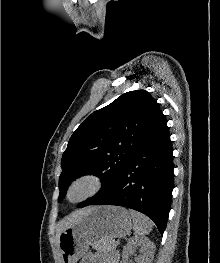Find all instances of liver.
I'll use <instances>...</instances> for the list:
<instances>
[{"label":"liver","instance_id":"obj_1","mask_svg":"<svg viewBox=\"0 0 220 263\" xmlns=\"http://www.w3.org/2000/svg\"><path fill=\"white\" fill-rule=\"evenodd\" d=\"M94 207L84 208L77 210L67 217H65L63 220H61L57 225V234L56 239L59 242V236L60 234L67 228L71 227L75 223H77L79 220H81L88 212H90Z\"/></svg>","mask_w":220,"mask_h":263}]
</instances>
